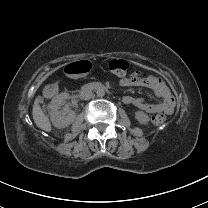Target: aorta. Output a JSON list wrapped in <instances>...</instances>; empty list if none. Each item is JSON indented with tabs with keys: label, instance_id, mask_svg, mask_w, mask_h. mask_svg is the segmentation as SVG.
<instances>
[{
	"label": "aorta",
	"instance_id": "762f6f07",
	"mask_svg": "<svg viewBox=\"0 0 208 208\" xmlns=\"http://www.w3.org/2000/svg\"><path fill=\"white\" fill-rule=\"evenodd\" d=\"M96 95L97 97H103L105 95V92L104 90L100 89V90H97Z\"/></svg>",
	"mask_w": 208,
	"mask_h": 208
}]
</instances>
